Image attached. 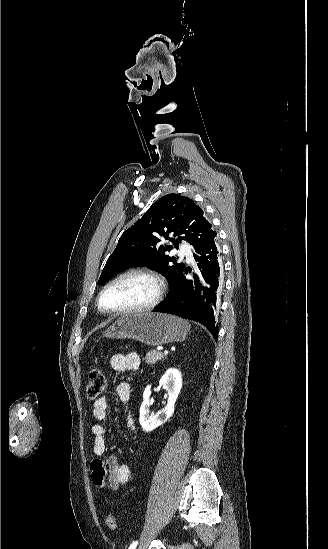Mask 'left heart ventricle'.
<instances>
[{
  "label": "left heart ventricle",
  "mask_w": 328,
  "mask_h": 549,
  "mask_svg": "<svg viewBox=\"0 0 328 549\" xmlns=\"http://www.w3.org/2000/svg\"><path fill=\"white\" fill-rule=\"evenodd\" d=\"M155 293L154 283L146 276L130 274L111 286L103 296L107 309L121 310L148 302Z\"/></svg>",
  "instance_id": "1"
}]
</instances>
